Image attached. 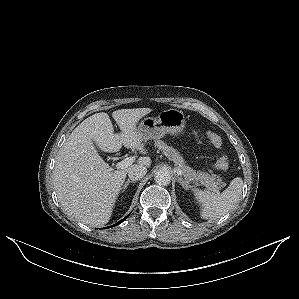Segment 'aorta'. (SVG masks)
<instances>
[{
  "instance_id": "obj_1",
  "label": "aorta",
  "mask_w": 299,
  "mask_h": 299,
  "mask_svg": "<svg viewBox=\"0 0 299 299\" xmlns=\"http://www.w3.org/2000/svg\"><path fill=\"white\" fill-rule=\"evenodd\" d=\"M154 180L158 185L167 186L171 182V174L166 169H160L155 173Z\"/></svg>"
}]
</instances>
